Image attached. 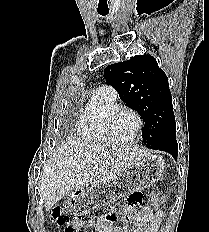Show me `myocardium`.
Masks as SVG:
<instances>
[{
    "mask_svg": "<svg viewBox=\"0 0 209 232\" xmlns=\"http://www.w3.org/2000/svg\"><path fill=\"white\" fill-rule=\"evenodd\" d=\"M121 112L131 113L137 122V126H136L134 133L131 135V137H129L127 139H118L113 135V132H112V122L115 119V117L117 115H119ZM142 126H143V120H142L140 114L135 109L128 107V106H117V107L111 109L106 114L105 120H104L105 135L111 143H116V144H127V143L134 141V139L137 137V135L141 131Z\"/></svg>",
    "mask_w": 209,
    "mask_h": 232,
    "instance_id": "myocardium-1",
    "label": "myocardium"
}]
</instances>
